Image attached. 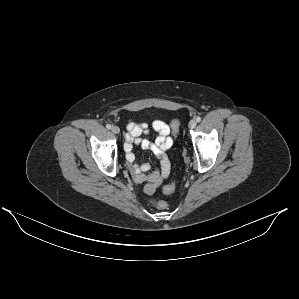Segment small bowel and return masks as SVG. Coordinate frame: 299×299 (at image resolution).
I'll list each match as a JSON object with an SVG mask.
<instances>
[{
  "mask_svg": "<svg viewBox=\"0 0 299 299\" xmlns=\"http://www.w3.org/2000/svg\"><path fill=\"white\" fill-rule=\"evenodd\" d=\"M150 127L158 134L154 142L142 138V135L149 133ZM150 127L147 123H130L124 144L126 160L133 178L136 183L144 185V191L147 194L154 193L157 187L169 176L171 164L166 152L173 144L170 127L163 120H154ZM134 145H138L143 149H150L158 159L159 167L148 173L150 164H138L136 162L133 153Z\"/></svg>",
  "mask_w": 299,
  "mask_h": 299,
  "instance_id": "obj_1",
  "label": "small bowel"
}]
</instances>
